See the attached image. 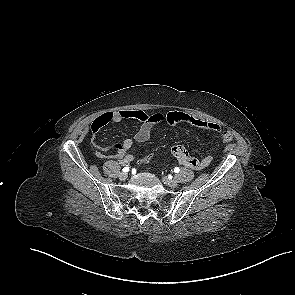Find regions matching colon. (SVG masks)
I'll return each mask as SVG.
<instances>
[{"mask_svg": "<svg viewBox=\"0 0 295 295\" xmlns=\"http://www.w3.org/2000/svg\"><path fill=\"white\" fill-rule=\"evenodd\" d=\"M151 158H152L151 155H146L139 160V163L140 164H147L150 162Z\"/></svg>", "mask_w": 295, "mask_h": 295, "instance_id": "obj_1", "label": "colon"}]
</instances>
